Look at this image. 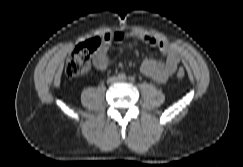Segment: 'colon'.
I'll return each mask as SVG.
<instances>
[{"label": "colon", "instance_id": "obj_1", "mask_svg": "<svg viewBox=\"0 0 243 167\" xmlns=\"http://www.w3.org/2000/svg\"><path fill=\"white\" fill-rule=\"evenodd\" d=\"M103 43L100 37H92L79 43L73 50L66 64V74L71 77L85 75L91 66L92 56L99 50ZM176 76L182 79L185 71L180 68L177 70Z\"/></svg>", "mask_w": 243, "mask_h": 167}]
</instances>
